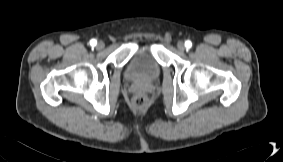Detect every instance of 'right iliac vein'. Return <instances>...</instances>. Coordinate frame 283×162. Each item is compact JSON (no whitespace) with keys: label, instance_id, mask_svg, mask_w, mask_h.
<instances>
[{"label":"right iliac vein","instance_id":"right-iliac-vein-1","mask_svg":"<svg viewBox=\"0 0 283 162\" xmlns=\"http://www.w3.org/2000/svg\"><path fill=\"white\" fill-rule=\"evenodd\" d=\"M97 49H99V50H101V49H103L104 47H105V44H104V42L103 41H99L98 43H97Z\"/></svg>","mask_w":283,"mask_h":162}]
</instances>
